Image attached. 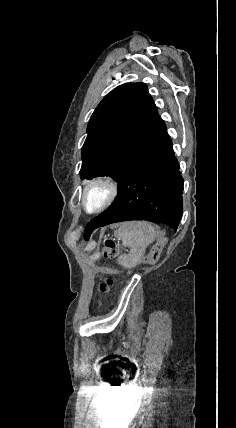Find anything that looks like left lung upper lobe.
Listing matches in <instances>:
<instances>
[{
	"label": "left lung upper lobe",
	"instance_id": "1",
	"mask_svg": "<svg viewBox=\"0 0 236 428\" xmlns=\"http://www.w3.org/2000/svg\"><path fill=\"white\" fill-rule=\"evenodd\" d=\"M160 120L144 83H125L99 103L82 147L81 179L110 175L119 182Z\"/></svg>",
	"mask_w": 236,
	"mask_h": 428
}]
</instances>
